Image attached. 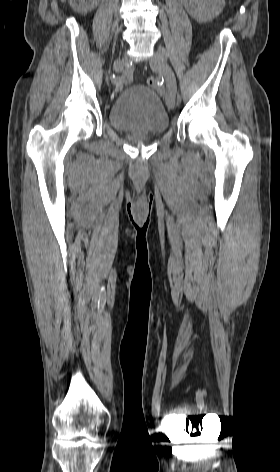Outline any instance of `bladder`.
Segmentation results:
<instances>
[{"mask_svg": "<svg viewBox=\"0 0 280 472\" xmlns=\"http://www.w3.org/2000/svg\"><path fill=\"white\" fill-rule=\"evenodd\" d=\"M108 119L115 129L124 132L161 134L169 127L168 112L152 89L131 85L122 90L112 102Z\"/></svg>", "mask_w": 280, "mask_h": 472, "instance_id": "1", "label": "bladder"}]
</instances>
